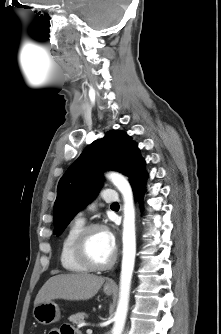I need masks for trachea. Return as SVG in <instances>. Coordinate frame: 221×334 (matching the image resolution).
Instances as JSON below:
<instances>
[{
	"label": "trachea",
	"instance_id": "trachea-1",
	"mask_svg": "<svg viewBox=\"0 0 221 334\" xmlns=\"http://www.w3.org/2000/svg\"><path fill=\"white\" fill-rule=\"evenodd\" d=\"M119 205L117 202L113 203L111 206H116Z\"/></svg>",
	"mask_w": 221,
	"mask_h": 334
}]
</instances>
